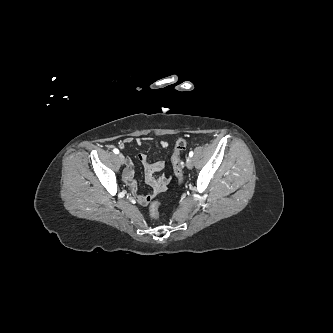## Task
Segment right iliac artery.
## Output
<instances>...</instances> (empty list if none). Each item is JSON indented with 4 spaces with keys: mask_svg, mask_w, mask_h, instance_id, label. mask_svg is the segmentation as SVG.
Here are the masks:
<instances>
[{
    "mask_svg": "<svg viewBox=\"0 0 333 333\" xmlns=\"http://www.w3.org/2000/svg\"><path fill=\"white\" fill-rule=\"evenodd\" d=\"M113 152H114L115 154H118V153H119V150L115 148V149L113 150Z\"/></svg>",
    "mask_w": 333,
    "mask_h": 333,
    "instance_id": "obj_1",
    "label": "right iliac artery"
}]
</instances>
